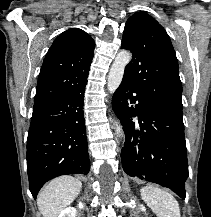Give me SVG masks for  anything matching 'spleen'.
<instances>
[{"label":"spleen","instance_id":"spleen-1","mask_svg":"<svg viewBox=\"0 0 211 217\" xmlns=\"http://www.w3.org/2000/svg\"><path fill=\"white\" fill-rule=\"evenodd\" d=\"M141 196L158 217H181L179 204L169 192L146 186L141 189Z\"/></svg>","mask_w":211,"mask_h":217}]
</instances>
